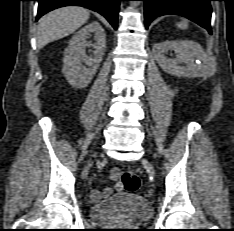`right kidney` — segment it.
Here are the masks:
<instances>
[{"label": "right kidney", "mask_w": 234, "mask_h": 231, "mask_svg": "<svg viewBox=\"0 0 234 231\" xmlns=\"http://www.w3.org/2000/svg\"><path fill=\"white\" fill-rule=\"evenodd\" d=\"M91 34H94L95 43L87 41ZM87 47L94 48L92 56L86 55ZM105 50L106 35L99 22L94 21L80 29L64 52L63 72L68 82L76 88L86 87L93 79Z\"/></svg>", "instance_id": "obj_1"}]
</instances>
